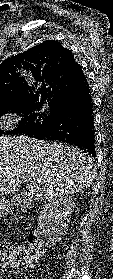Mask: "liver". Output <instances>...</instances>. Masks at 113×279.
<instances>
[{"label": "liver", "mask_w": 113, "mask_h": 279, "mask_svg": "<svg viewBox=\"0 0 113 279\" xmlns=\"http://www.w3.org/2000/svg\"><path fill=\"white\" fill-rule=\"evenodd\" d=\"M96 175L83 150L27 136L0 137V193L14 194L27 184L31 200L57 202L88 188Z\"/></svg>", "instance_id": "obj_1"}]
</instances>
